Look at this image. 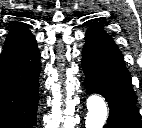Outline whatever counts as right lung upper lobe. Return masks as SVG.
<instances>
[{"instance_id":"right-lung-upper-lobe-1","label":"right lung upper lobe","mask_w":142,"mask_h":128,"mask_svg":"<svg viewBox=\"0 0 142 128\" xmlns=\"http://www.w3.org/2000/svg\"><path fill=\"white\" fill-rule=\"evenodd\" d=\"M34 42L35 38L29 31L27 24L15 21V26L10 30L6 38L0 60L22 52Z\"/></svg>"}]
</instances>
